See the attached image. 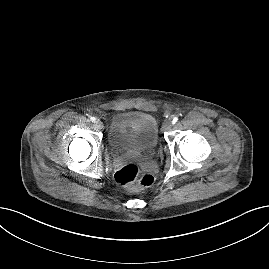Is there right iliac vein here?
I'll list each match as a JSON object with an SVG mask.
<instances>
[{
    "instance_id": "1",
    "label": "right iliac vein",
    "mask_w": 269,
    "mask_h": 269,
    "mask_svg": "<svg viewBox=\"0 0 269 269\" xmlns=\"http://www.w3.org/2000/svg\"><path fill=\"white\" fill-rule=\"evenodd\" d=\"M95 126L99 129H102L103 128V123L100 121V120H96L95 121Z\"/></svg>"
}]
</instances>
